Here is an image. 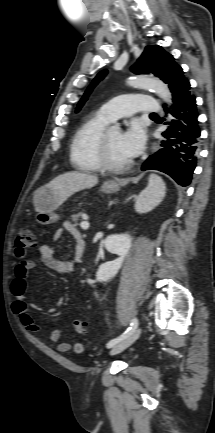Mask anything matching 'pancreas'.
<instances>
[{
    "mask_svg": "<svg viewBox=\"0 0 215 433\" xmlns=\"http://www.w3.org/2000/svg\"><path fill=\"white\" fill-rule=\"evenodd\" d=\"M81 213H77L71 216L70 220L74 222L75 225H78V221L81 217Z\"/></svg>",
    "mask_w": 215,
    "mask_h": 433,
    "instance_id": "obj_1",
    "label": "pancreas"
}]
</instances>
